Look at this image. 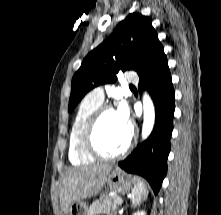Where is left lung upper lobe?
I'll return each instance as SVG.
<instances>
[{"mask_svg": "<svg viewBox=\"0 0 221 215\" xmlns=\"http://www.w3.org/2000/svg\"><path fill=\"white\" fill-rule=\"evenodd\" d=\"M162 48L150 19L139 13L129 14L85 57L74 74L68 111L72 112L91 89L114 83L119 71L134 70L138 75L143 74Z\"/></svg>", "mask_w": 221, "mask_h": 215, "instance_id": "left-lung-upper-lobe-1", "label": "left lung upper lobe"}]
</instances>
